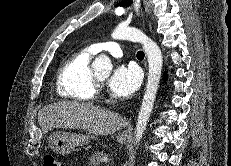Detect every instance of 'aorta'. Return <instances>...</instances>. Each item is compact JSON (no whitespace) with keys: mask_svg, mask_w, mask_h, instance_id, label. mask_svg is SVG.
<instances>
[{"mask_svg":"<svg viewBox=\"0 0 231 166\" xmlns=\"http://www.w3.org/2000/svg\"><path fill=\"white\" fill-rule=\"evenodd\" d=\"M111 36L113 39L129 40L132 42L141 43L148 58V81L135 129V145L138 146L143 137L151 111L153 109L161 78L163 57L158 45L136 28L119 24ZM92 68L98 74L109 76L112 70V63L107 55L101 54L93 62Z\"/></svg>","mask_w":231,"mask_h":166,"instance_id":"obj_1","label":"aorta"}]
</instances>
